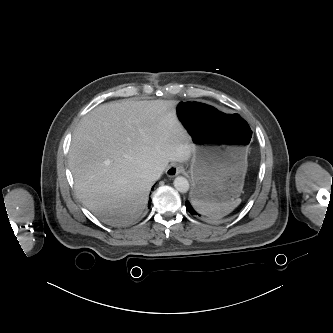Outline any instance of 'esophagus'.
Listing matches in <instances>:
<instances>
[{"label": "esophagus", "instance_id": "obj_1", "mask_svg": "<svg viewBox=\"0 0 333 333\" xmlns=\"http://www.w3.org/2000/svg\"><path fill=\"white\" fill-rule=\"evenodd\" d=\"M184 171L183 167L179 164L173 163L171 164L168 169L166 170V174L169 177H174Z\"/></svg>", "mask_w": 333, "mask_h": 333}]
</instances>
